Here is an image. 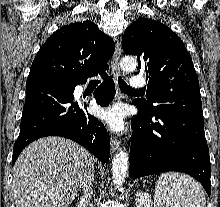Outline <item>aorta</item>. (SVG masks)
Instances as JSON below:
<instances>
[{
	"label": "aorta",
	"mask_w": 220,
	"mask_h": 207,
	"mask_svg": "<svg viewBox=\"0 0 220 207\" xmlns=\"http://www.w3.org/2000/svg\"><path fill=\"white\" fill-rule=\"evenodd\" d=\"M123 71L131 72L137 68V60L132 56H124L120 61ZM129 157L125 149H121L113 158L112 178L114 185L120 186L125 181L128 170Z\"/></svg>",
	"instance_id": "obj_1"
}]
</instances>
